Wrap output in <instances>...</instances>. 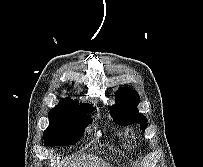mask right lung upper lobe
I'll return each mask as SVG.
<instances>
[{"label":"right lung upper lobe","instance_id":"obj_1","mask_svg":"<svg viewBox=\"0 0 203 167\" xmlns=\"http://www.w3.org/2000/svg\"><path fill=\"white\" fill-rule=\"evenodd\" d=\"M75 105H78L77 101H73L69 98H65V99H61L59 104L56 105L53 109H51V111H59Z\"/></svg>","mask_w":203,"mask_h":167}]
</instances>
